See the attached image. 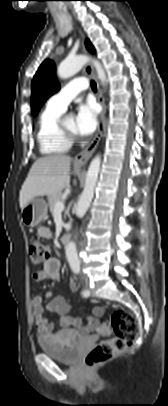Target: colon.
Returning a JSON list of instances; mask_svg holds the SVG:
<instances>
[{"mask_svg":"<svg viewBox=\"0 0 168 406\" xmlns=\"http://www.w3.org/2000/svg\"><path fill=\"white\" fill-rule=\"evenodd\" d=\"M28 253L31 263L39 266L49 258L50 249L46 244L34 241L29 244ZM111 331L114 337L95 345L86 355L87 366L100 365L122 354L137 338L139 324L132 312L118 309L109 321L100 326V332L104 335Z\"/></svg>","mask_w":168,"mask_h":406,"instance_id":"5ec220e1","label":"colon"}]
</instances>
